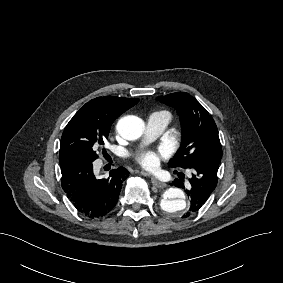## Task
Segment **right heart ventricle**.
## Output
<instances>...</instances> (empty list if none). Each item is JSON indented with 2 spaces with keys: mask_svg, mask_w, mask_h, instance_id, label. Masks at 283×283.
Masks as SVG:
<instances>
[{
  "mask_svg": "<svg viewBox=\"0 0 283 283\" xmlns=\"http://www.w3.org/2000/svg\"><path fill=\"white\" fill-rule=\"evenodd\" d=\"M158 113H164V114H167L170 117V114L166 111H159Z\"/></svg>",
  "mask_w": 283,
  "mask_h": 283,
  "instance_id": "e07e8e85",
  "label": "right heart ventricle"
}]
</instances>
